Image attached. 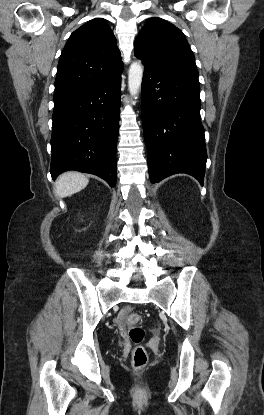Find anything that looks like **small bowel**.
Returning <instances> with one entry per match:
<instances>
[{
    "mask_svg": "<svg viewBox=\"0 0 264 415\" xmlns=\"http://www.w3.org/2000/svg\"><path fill=\"white\" fill-rule=\"evenodd\" d=\"M127 316V311H121L118 316L115 318V322L118 326H121L123 324V322L125 321Z\"/></svg>",
    "mask_w": 264,
    "mask_h": 415,
    "instance_id": "1",
    "label": "small bowel"
}]
</instances>
